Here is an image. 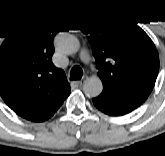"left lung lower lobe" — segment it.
<instances>
[{"label": "left lung lower lobe", "mask_w": 165, "mask_h": 156, "mask_svg": "<svg viewBox=\"0 0 165 156\" xmlns=\"http://www.w3.org/2000/svg\"><path fill=\"white\" fill-rule=\"evenodd\" d=\"M93 103L100 111L110 116H122L134 110L114 100L104 92H102L98 97L93 98Z\"/></svg>", "instance_id": "left-lung-lower-lobe-1"}]
</instances>
